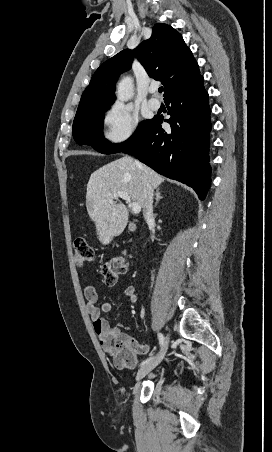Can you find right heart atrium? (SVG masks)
<instances>
[{"label": "right heart atrium", "mask_w": 272, "mask_h": 452, "mask_svg": "<svg viewBox=\"0 0 272 452\" xmlns=\"http://www.w3.org/2000/svg\"><path fill=\"white\" fill-rule=\"evenodd\" d=\"M103 136L111 144H120L135 134L139 125L137 114L128 106L116 103L103 114Z\"/></svg>", "instance_id": "right-heart-atrium-1"}]
</instances>
